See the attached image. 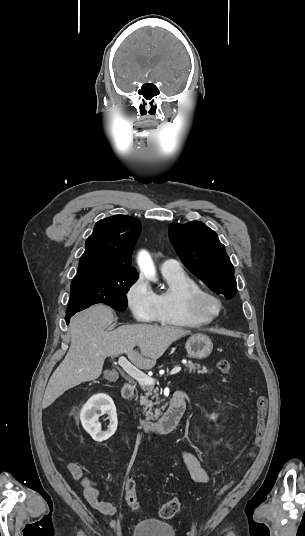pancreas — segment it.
Instances as JSON below:
<instances>
[{
	"mask_svg": "<svg viewBox=\"0 0 305 536\" xmlns=\"http://www.w3.org/2000/svg\"><path fill=\"white\" fill-rule=\"evenodd\" d=\"M184 366H187L190 372H195V370H197V374H208L206 366H202V370H200V364H192V362H188V364H184ZM141 390L145 392V396H140L139 402L141 406H145L146 420H154V418L162 416L161 408H156V410H154L155 414L152 412L153 406H156V404L159 406L160 404V402H152L155 398L156 400H159L158 388H154V384H151V386H141Z\"/></svg>",
	"mask_w": 305,
	"mask_h": 536,
	"instance_id": "cf45deb5",
	"label": "pancreas"
}]
</instances>
